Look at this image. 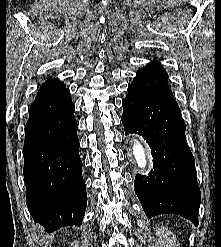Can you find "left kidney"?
Listing matches in <instances>:
<instances>
[{
	"instance_id": "obj_1",
	"label": "left kidney",
	"mask_w": 221,
	"mask_h": 247,
	"mask_svg": "<svg viewBox=\"0 0 221 247\" xmlns=\"http://www.w3.org/2000/svg\"><path fill=\"white\" fill-rule=\"evenodd\" d=\"M156 235L161 247H180L176 236L167 227L156 228Z\"/></svg>"
}]
</instances>
